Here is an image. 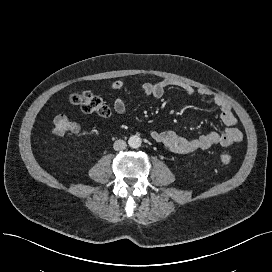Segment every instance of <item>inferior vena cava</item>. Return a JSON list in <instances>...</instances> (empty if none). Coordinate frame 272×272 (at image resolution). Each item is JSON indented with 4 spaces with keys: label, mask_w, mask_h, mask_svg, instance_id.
<instances>
[{
    "label": "inferior vena cava",
    "mask_w": 272,
    "mask_h": 272,
    "mask_svg": "<svg viewBox=\"0 0 272 272\" xmlns=\"http://www.w3.org/2000/svg\"><path fill=\"white\" fill-rule=\"evenodd\" d=\"M127 144L124 140H116L113 144V148L116 151L124 150L126 149Z\"/></svg>",
    "instance_id": "obj_1"
}]
</instances>
